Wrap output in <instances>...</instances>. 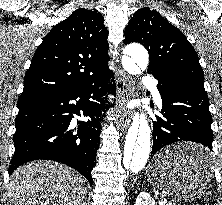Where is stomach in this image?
Here are the masks:
<instances>
[{"label": "stomach", "mask_w": 222, "mask_h": 205, "mask_svg": "<svg viewBox=\"0 0 222 205\" xmlns=\"http://www.w3.org/2000/svg\"><path fill=\"white\" fill-rule=\"evenodd\" d=\"M194 143H180L156 154L147 167L149 182L165 193L191 197L201 193L210 182L211 164L181 163L182 157L191 151H204Z\"/></svg>", "instance_id": "0dacf381"}]
</instances>
